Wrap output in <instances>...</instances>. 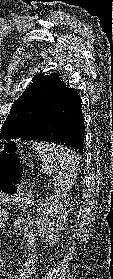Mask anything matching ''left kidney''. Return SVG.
<instances>
[{"label": "left kidney", "instance_id": "obj_1", "mask_svg": "<svg viewBox=\"0 0 113 279\" xmlns=\"http://www.w3.org/2000/svg\"><path fill=\"white\" fill-rule=\"evenodd\" d=\"M69 201L67 192L55 191L40 202L35 218L36 234L46 246L54 245L59 240L69 213Z\"/></svg>", "mask_w": 113, "mask_h": 279}]
</instances>
